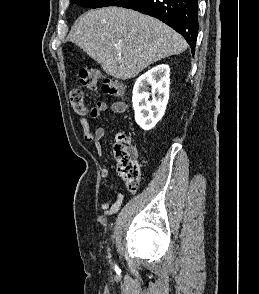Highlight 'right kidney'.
I'll use <instances>...</instances> for the list:
<instances>
[{"label":"right kidney","mask_w":259,"mask_h":294,"mask_svg":"<svg viewBox=\"0 0 259 294\" xmlns=\"http://www.w3.org/2000/svg\"><path fill=\"white\" fill-rule=\"evenodd\" d=\"M148 86L152 88V101H149ZM169 86L170 68L167 64L153 67L136 80L132 103L135 121L142 129H152L163 117L169 99Z\"/></svg>","instance_id":"obj_1"}]
</instances>
